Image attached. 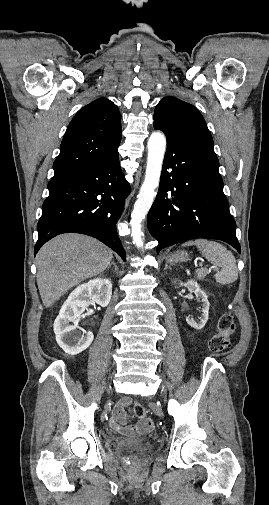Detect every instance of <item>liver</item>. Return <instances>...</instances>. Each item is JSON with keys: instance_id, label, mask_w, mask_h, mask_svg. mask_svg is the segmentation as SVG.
Returning a JSON list of instances; mask_svg holds the SVG:
<instances>
[{"instance_id": "6515ba94", "label": "liver", "mask_w": 269, "mask_h": 505, "mask_svg": "<svg viewBox=\"0 0 269 505\" xmlns=\"http://www.w3.org/2000/svg\"><path fill=\"white\" fill-rule=\"evenodd\" d=\"M112 258L106 245L81 234H62L47 242L36 256L43 305L52 306L70 288L102 273Z\"/></svg>"}]
</instances>
